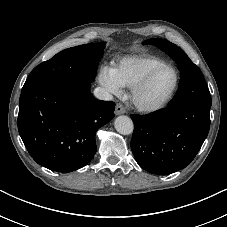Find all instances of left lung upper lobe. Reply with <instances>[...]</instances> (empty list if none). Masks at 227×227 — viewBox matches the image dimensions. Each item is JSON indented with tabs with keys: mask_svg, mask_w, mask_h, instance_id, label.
<instances>
[{
	"mask_svg": "<svg viewBox=\"0 0 227 227\" xmlns=\"http://www.w3.org/2000/svg\"><path fill=\"white\" fill-rule=\"evenodd\" d=\"M144 44H153L167 52L181 71L178 91L168 106L200 104L211 107V96L203 74L181 48L158 38L146 40Z\"/></svg>",
	"mask_w": 227,
	"mask_h": 227,
	"instance_id": "5c2ea615",
	"label": "left lung upper lobe"
}]
</instances>
